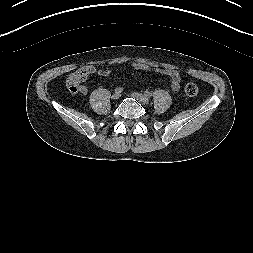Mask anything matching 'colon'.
Returning <instances> with one entry per match:
<instances>
[{"label": "colon", "instance_id": "obj_1", "mask_svg": "<svg viewBox=\"0 0 253 253\" xmlns=\"http://www.w3.org/2000/svg\"><path fill=\"white\" fill-rule=\"evenodd\" d=\"M90 72L86 67H82L75 71L67 80V87L71 92L77 93L80 90L81 83L84 82L89 76ZM185 93L190 96L198 94V87L195 83H187L185 86Z\"/></svg>", "mask_w": 253, "mask_h": 253}]
</instances>
